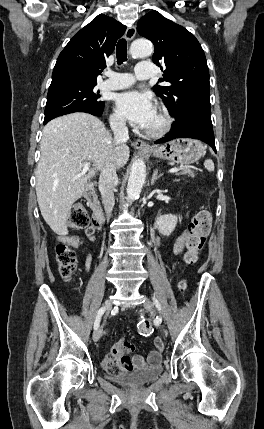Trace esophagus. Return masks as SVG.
Listing matches in <instances>:
<instances>
[{
    "label": "esophagus",
    "mask_w": 264,
    "mask_h": 429,
    "mask_svg": "<svg viewBox=\"0 0 264 429\" xmlns=\"http://www.w3.org/2000/svg\"><path fill=\"white\" fill-rule=\"evenodd\" d=\"M135 34H136V28L134 26H129L126 29L125 36L128 41H131L135 37ZM133 146L138 149H150V146L140 139L134 140Z\"/></svg>",
    "instance_id": "esophagus-1"
}]
</instances>
